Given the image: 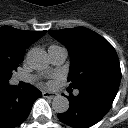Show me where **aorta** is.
<instances>
[{
  "instance_id": "762f6f07",
  "label": "aorta",
  "mask_w": 128,
  "mask_h": 128,
  "mask_svg": "<svg viewBox=\"0 0 128 128\" xmlns=\"http://www.w3.org/2000/svg\"><path fill=\"white\" fill-rule=\"evenodd\" d=\"M26 60L28 65L35 70H44L49 65L48 55L41 49L29 51ZM52 108L56 113H65L69 109V101L66 97L57 95L53 98Z\"/></svg>"
}]
</instances>
